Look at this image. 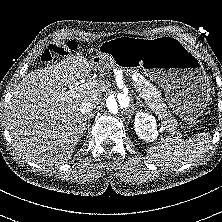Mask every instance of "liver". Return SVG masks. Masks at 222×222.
Listing matches in <instances>:
<instances>
[{
	"label": "liver",
	"instance_id": "obj_1",
	"mask_svg": "<svg viewBox=\"0 0 222 222\" xmlns=\"http://www.w3.org/2000/svg\"><path fill=\"white\" fill-rule=\"evenodd\" d=\"M93 68L96 70L92 61L82 56L69 57L31 71L12 90L6 126L26 159L43 166L71 159L84 135L82 103L89 99L98 103L110 88V83L102 80L76 85L78 80L88 78Z\"/></svg>",
	"mask_w": 222,
	"mask_h": 222
}]
</instances>
